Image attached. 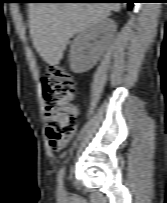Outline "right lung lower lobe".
I'll return each mask as SVG.
<instances>
[{
  "instance_id": "98d812e1",
  "label": "right lung lower lobe",
  "mask_w": 167,
  "mask_h": 203,
  "mask_svg": "<svg viewBox=\"0 0 167 203\" xmlns=\"http://www.w3.org/2000/svg\"><path fill=\"white\" fill-rule=\"evenodd\" d=\"M88 1H119V3H128L129 8L133 7L135 0H88Z\"/></svg>"
}]
</instances>
